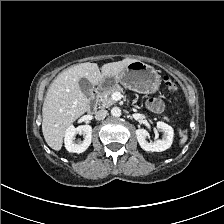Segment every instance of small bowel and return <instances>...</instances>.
Returning <instances> with one entry per match:
<instances>
[{"instance_id": "c3829d8e", "label": "small bowel", "mask_w": 224, "mask_h": 224, "mask_svg": "<svg viewBox=\"0 0 224 224\" xmlns=\"http://www.w3.org/2000/svg\"><path fill=\"white\" fill-rule=\"evenodd\" d=\"M148 106L153 111H160L161 110V105L156 100H150L149 103H148Z\"/></svg>"}]
</instances>
